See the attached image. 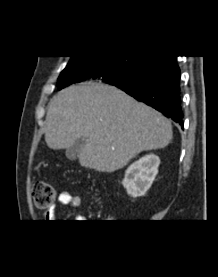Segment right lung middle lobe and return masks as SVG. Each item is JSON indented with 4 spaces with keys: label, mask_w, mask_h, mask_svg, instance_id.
<instances>
[{
    "label": "right lung middle lobe",
    "mask_w": 218,
    "mask_h": 277,
    "mask_svg": "<svg viewBox=\"0 0 218 277\" xmlns=\"http://www.w3.org/2000/svg\"><path fill=\"white\" fill-rule=\"evenodd\" d=\"M153 57L139 56H72L58 78V89L83 80L95 72L112 85L126 83L138 74Z\"/></svg>",
    "instance_id": "obj_1"
}]
</instances>
